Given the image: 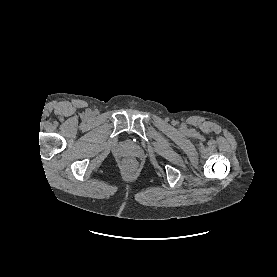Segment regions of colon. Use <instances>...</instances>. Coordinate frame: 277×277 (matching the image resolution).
I'll list each match as a JSON object with an SVG mask.
<instances>
[{"mask_svg": "<svg viewBox=\"0 0 277 277\" xmlns=\"http://www.w3.org/2000/svg\"><path fill=\"white\" fill-rule=\"evenodd\" d=\"M124 166L129 168V169H133L135 167V162L131 159H126L124 161Z\"/></svg>", "mask_w": 277, "mask_h": 277, "instance_id": "5ec220e1", "label": "colon"}]
</instances>
